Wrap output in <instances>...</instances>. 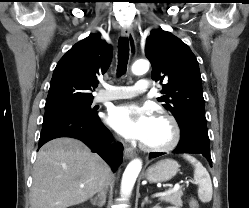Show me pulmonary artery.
<instances>
[{
  "label": "pulmonary artery",
  "instance_id": "e3ab8cb5",
  "mask_svg": "<svg viewBox=\"0 0 249 208\" xmlns=\"http://www.w3.org/2000/svg\"><path fill=\"white\" fill-rule=\"evenodd\" d=\"M151 89L149 80L140 79L133 86H115L108 88V91L99 93L95 97L96 102L133 98Z\"/></svg>",
  "mask_w": 249,
  "mask_h": 208
}]
</instances>
